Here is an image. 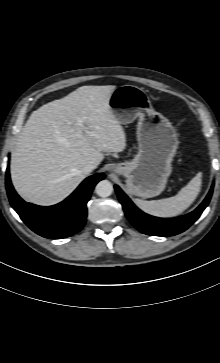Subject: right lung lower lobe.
Returning a JSON list of instances; mask_svg holds the SVG:
<instances>
[{
	"mask_svg": "<svg viewBox=\"0 0 220 363\" xmlns=\"http://www.w3.org/2000/svg\"><path fill=\"white\" fill-rule=\"evenodd\" d=\"M103 173L86 178L64 201L53 206H37L23 201L15 192L6 170V189L13 209L23 222L37 234L49 239H61L79 232L87 216L86 204L97 182L104 179Z\"/></svg>",
	"mask_w": 220,
	"mask_h": 363,
	"instance_id": "1",
	"label": "right lung lower lobe"
}]
</instances>
